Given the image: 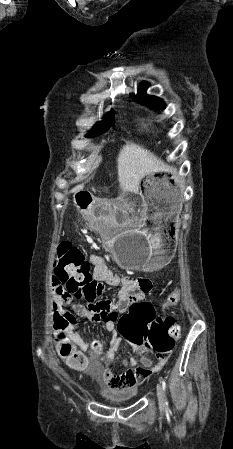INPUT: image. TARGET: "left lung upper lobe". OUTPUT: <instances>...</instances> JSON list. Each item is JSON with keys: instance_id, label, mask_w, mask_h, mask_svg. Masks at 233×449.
I'll use <instances>...</instances> for the list:
<instances>
[{"instance_id": "5c2ea615", "label": "left lung upper lobe", "mask_w": 233, "mask_h": 449, "mask_svg": "<svg viewBox=\"0 0 233 449\" xmlns=\"http://www.w3.org/2000/svg\"><path fill=\"white\" fill-rule=\"evenodd\" d=\"M148 87L149 84L147 82H142L139 86V91L137 95L132 93L130 94V96L138 103H141L142 105H145L151 109H164L165 103L161 98L148 95L145 92Z\"/></svg>"}]
</instances>
